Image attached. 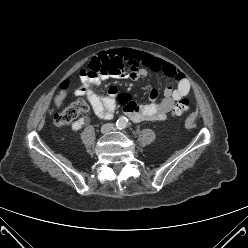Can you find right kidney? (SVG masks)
<instances>
[{
    "mask_svg": "<svg viewBox=\"0 0 248 248\" xmlns=\"http://www.w3.org/2000/svg\"><path fill=\"white\" fill-rule=\"evenodd\" d=\"M84 124H85L84 118H80L79 120L72 123L71 128L73 131H78L83 127Z\"/></svg>",
    "mask_w": 248,
    "mask_h": 248,
    "instance_id": "1",
    "label": "right kidney"
}]
</instances>
